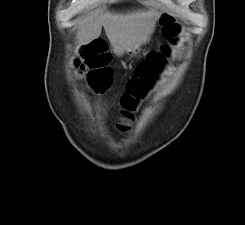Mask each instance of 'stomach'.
Listing matches in <instances>:
<instances>
[{
  "label": "stomach",
  "mask_w": 245,
  "mask_h": 225,
  "mask_svg": "<svg viewBox=\"0 0 245 225\" xmlns=\"http://www.w3.org/2000/svg\"><path fill=\"white\" fill-rule=\"evenodd\" d=\"M139 51H140V46H136L127 52H128V54H130V56H135L139 53Z\"/></svg>",
  "instance_id": "obj_1"
}]
</instances>
